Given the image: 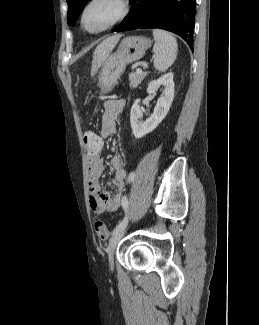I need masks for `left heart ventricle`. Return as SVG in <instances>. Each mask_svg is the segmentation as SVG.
I'll return each instance as SVG.
<instances>
[{"label": "left heart ventricle", "mask_w": 259, "mask_h": 325, "mask_svg": "<svg viewBox=\"0 0 259 325\" xmlns=\"http://www.w3.org/2000/svg\"><path fill=\"white\" fill-rule=\"evenodd\" d=\"M118 0H97L85 14V24L89 29H99L113 21L120 13Z\"/></svg>", "instance_id": "b2bd125f"}]
</instances>
